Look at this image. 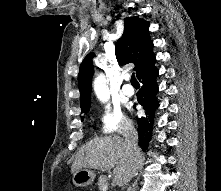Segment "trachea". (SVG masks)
I'll use <instances>...</instances> for the list:
<instances>
[{"instance_id":"obj_1","label":"trachea","mask_w":221,"mask_h":191,"mask_svg":"<svg viewBox=\"0 0 221 191\" xmlns=\"http://www.w3.org/2000/svg\"><path fill=\"white\" fill-rule=\"evenodd\" d=\"M131 83H132V84H138V81H137V79L135 78L134 73H133L132 76H131Z\"/></svg>"}]
</instances>
